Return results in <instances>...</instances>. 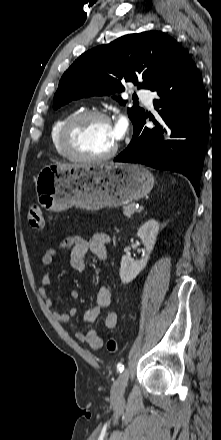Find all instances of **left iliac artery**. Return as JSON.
<instances>
[{"label":"left iliac artery","instance_id":"44dca946","mask_svg":"<svg viewBox=\"0 0 221 440\" xmlns=\"http://www.w3.org/2000/svg\"><path fill=\"white\" fill-rule=\"evenodd\" d=\"M117 370L121 373L124 370V365L122 363H118Z\"/></svg>","mask_w":221,"mask_h":440}]
</instances>
